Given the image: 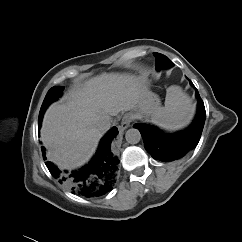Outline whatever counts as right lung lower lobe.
Segmentation results:
<instances>
[{
	"label": "right lung lower lobe",
	"instance_id": "right-lung-lower-lobe-1",
	"mask_svg": "<svg viewBox=\"0 0 242 242\" xmlns=\"http://www.w3.org/2000/svg\"><path fill=\"white\" fill-rule=\"evenodd\" d=\"M42 120L39 122L41 126ZM118 134L113 127L101 140L99 148L92 160L85 166L76 170H61L48 161L46 166L52 176L61 184L70 187L72 193L91 198L101 196L110 189L111 178L116 170V160L110 152L111 140ZM45 154V148H42ZM45 157V156H44ZM46 159V158H45Z\"/></svg>",
	"mask_w": 242,
	"mask_h": 242
}]
</instances>
